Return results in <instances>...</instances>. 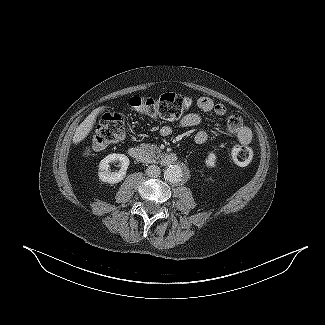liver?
<instances>
[{
    "label": "liver",
    "instance_id": "1",
    "mask_svg": "<svg viewBox=\"0 0 325 325\" xmlns=\"http://www.w3.org/2000/svg\"><path fill=\"white\" fill-rule=\"evenodd\" d=\"M105 107H100L91 112L85 120L77 127L74 136H73V143L78 144L83 141L93 129V126L96 121L97 115L104 110Z\"/></svg>",
    "mask_w": 325,
    "mask_h": 325
}]
</instances>
